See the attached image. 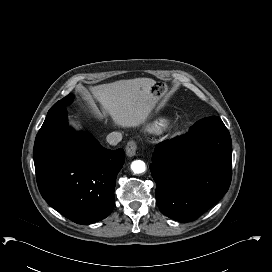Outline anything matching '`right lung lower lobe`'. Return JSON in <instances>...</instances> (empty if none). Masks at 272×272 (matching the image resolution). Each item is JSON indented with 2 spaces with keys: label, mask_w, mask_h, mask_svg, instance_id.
Here are the masks:
<instances>
[{
  "label": "right lung lower lobe",
  "mask_w": 272,
  "mask_h": 272,
  "mask_svg": "<svg viewBox=\"0 0 272 272\" xmlns=\"http://www.w3.org/2000/svg\"><path fill=\"white\" fill-rule=\"evenodd\" d=\"M33 155L40 193L55 210L83 225L110 215L123 149L108 150L89 133L73 131L62 106L47 114Z\"/></svg>",
  "instance_id": "1"
}]
</instances>
